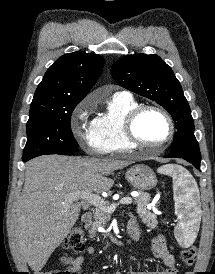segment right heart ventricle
<instances>
[{
  "mask_svg": "<svg viewBox=\"0 0 215 274\" xmlns=\"http://www.w3.org/2000/svg\"><path fill=\"white\" fill-rule=\"evenodd\" d=\"M138 105L131 95L115 94L107 101L106 111L94 119L96 133L107 153H122L135 148L125 137L123 122L127 113Z\"/></svg>",
  "mask_w": 215,
  "mask_h": 274,
  "instance_id": "right-heart-ventricle-1",
  "label": "right heart ventricle"
}]
</instances>
